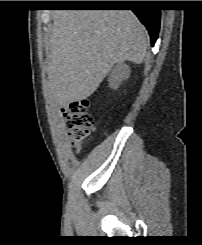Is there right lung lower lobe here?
<instances>
[{
    "label": "right lung lower lobe",
    "instance_id": "obj_1",
    "mask_svg": "<svg viewBox=\"0 0 202 245\" xmlns=\"http://www.w3.org/2000/svg\"><path fill=\"white\" fill-rule=\"evenodd\" d=\"M144 4L143 1H134L131 5H133L132 11L139 18L141 23L147 28L152 46L154 45L160 27V10L157 9H149L141 7ZM84 6H96V7H105V6H126L122 5V3H85Z\"/></svg>",
    "mask_w": 202,
    "mask_h": 245
}]
</instances>
